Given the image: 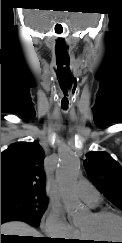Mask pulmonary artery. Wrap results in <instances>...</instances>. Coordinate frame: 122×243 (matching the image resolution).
Wrapping results in <instances>:
<instances>
[{"label":"pulmonary artery","mask_w":122,"mask_h":243,"mask_svg":"<svg viewBox=\"0 0 122 243\" xmlns=\"http://www.w3.org/2000/svg\"><path fill=\"white\" fill-rule=\"evenodd\" d=\"M75 190L78 195L91 207H96L101 200L98 190L87 181H79Z\"/></svg>","instance_id":"1"}]
</instances>
